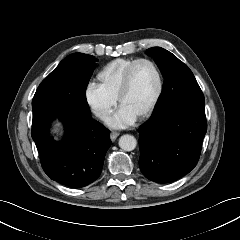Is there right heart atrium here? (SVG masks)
<instances>
[{
  "mask_svg": "<svg viewBox=\"0 0 240 240\" xmlns=\"http://www.w3.org/2000/svg\"><path fill=\"white\" fill-rule=\"evenodd\" d=\"M85 100L93 113L100 119H106L116 105V98L108 95L99 84L89 83L85 89Z\"/></svg>",
  "mask_w": 240,
  "mask_h": 240,
  "instance_id": "right-heart-atrium-1",
  "label": "right heart atrium"
}]
</instances>
